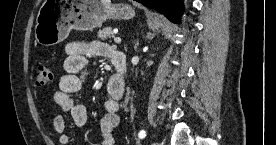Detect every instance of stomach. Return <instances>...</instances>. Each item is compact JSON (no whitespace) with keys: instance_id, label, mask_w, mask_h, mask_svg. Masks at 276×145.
Segmentation results:
<instances>
[{"instance_id":"0dacf381","label":"stomach","mask_w":276,"mask_h":145,"mask_svg":"<svg viewBox=\"0 0 276 145\" xmlns=\"http://www.w3.org/2000/svg\"><path fill=\"white\" fill-rule=\"evenodd\" d=\"M134 16L129 5L106 0H45L36 18L35 39L43 46H53L65 40L72 29L92 30L107 19Z\"/></svg>"}]
</instances>
